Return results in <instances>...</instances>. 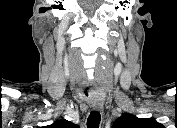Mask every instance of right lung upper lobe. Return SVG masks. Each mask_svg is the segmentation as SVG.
Wrapping results in <instances>:
<instances>
[{"mask_svg": "<svg viewBox=\"0 0 177 128\" xmlns=\"http://www.w3.org/2000/svg\"><path fill=\"white\" fill-rule=\"evenodd\" d=\"M51 127L52 128H76L78 127V125L73 124L72 122L67 121L65 119H61L53 123Z\"/></svg>", "mask_w": 177, "mask_h": 128, "instance_id": "cb5924a9", "label": "right lung upper lobe"}]
</instances>
